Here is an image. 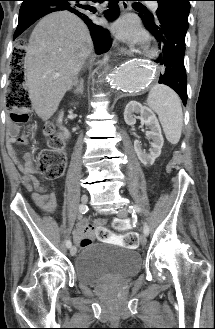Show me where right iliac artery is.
Here are the masks:
<instances>
[{
    "instance_id": "1",
    "label": "right iliac artery",
    "mask_w": 215,
    "mask_h": 329,
    "mask_svg": "<svg viewBox=\"0 0 215 329\" xmlns=\"http://www.w3.org/2000/svg\"><path fill=\"white\" fill-rule=\"evenodd\" d=\"M87 210H88V208H87V206H85V205H81V206L79 207V212H80V214H85V213L87 212ZM66 246H67L68 248H70V247L72 246V243H71L70 240H67V241H66Z\"/></svg>"
}]
</instances>
